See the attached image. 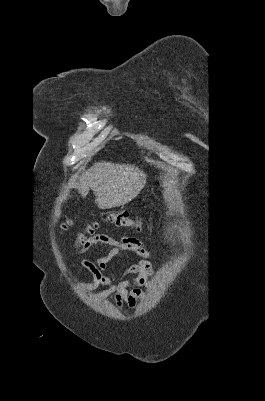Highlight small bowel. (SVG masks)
I'll use <instances>...</instances> for the list:
<instances>
[{
	"label": "small bowel",
	"instance_id": "obj_1",
	"mask_svg": "<svg viewBox=\"0 0 265 401\" xmlns=\"http://www.w3.org/2000/svg\"><path fill=\"white\" fill-rule=\"evenodd\" d=\"M96 244H105L110 248L96 261L83 257L78 258V263L93 276L92 281L81 282V285L87 289L104 285L106 289L98 293L99 299H106L113 295L118 309H121L124 304L134 309L138 301L144 299L140 287L150 286L151 278L154 275L152 264L147 260L150 253L146 250L143 242L137 238L122 236L120 239H114L106 234H98L88 238L86 245L80 250V254ZM125 252H133L143 259L129 265L117 275H105L107 264L115 256Z\"/></svg>",
	"mask_w": 265,
	"mask_h": 401
}]
</instances>
